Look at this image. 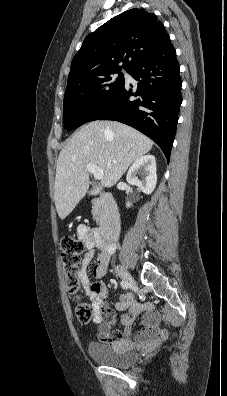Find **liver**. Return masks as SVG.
Here are the masks:
<instances>
[{"mask_svg":"<svg viewBox=\"0 0 227 396\" xmlns=\"http://www.w3.org/2000/svg\"><path fill=\"white\" fill-rule=\"evenodd\" d=\"M153 144L139 131L116 121L83 125L60 151L57 160L54 197L60 219L64 220L88 191L87 164L103 170L101 186L110 188Z\"/></svg>","mask_w":227,"mask_h":396,"instance_id":"obj_1","label":"liver"}]
</instances>
